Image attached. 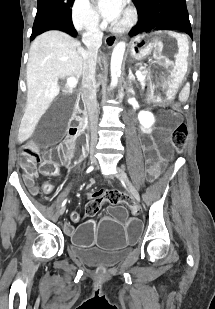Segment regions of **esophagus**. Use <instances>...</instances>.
<instances>
[{
    "instance_id": "34e87169",
    "label": "esophagus",
    "mask_w": 215,
    "mask_h": 309,
    "mask_svg": "<svg viewBox=\"0 0 215 309\" xmlns=\"http://www.w3.org/2000/svg\"><path fill=\"white\" fill-rule=\"evenodd\" d=\"M116 41H117V37H114V36H111V35H108L105 38V44L109 48H112L115 45Z\"/></svg>"
}]
</instances>
